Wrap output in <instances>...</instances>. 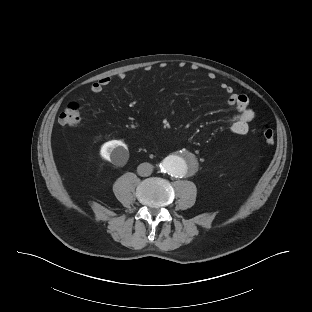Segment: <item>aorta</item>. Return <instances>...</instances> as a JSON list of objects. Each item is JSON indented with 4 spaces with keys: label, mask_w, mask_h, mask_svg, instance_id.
<instances>
[{
    "label": "aorta",
    "mask_w": 312,
    "mask_h": 312,
    "mask_svg": "<svg viewBox=\"0 0 312 312\" xmlns=\"http://www.w3.org/2000/svg\"><path fill=\"white\" fill-rule=\"evenodd\" d=\"M192 157L189 155L186 156H168L166 157L162 163L160 164V168L163 172L171 175L173 177H180L182 176L187 167L192 162Z\"/></svg>",
    "instance_id": "1"
}]
</instances>
